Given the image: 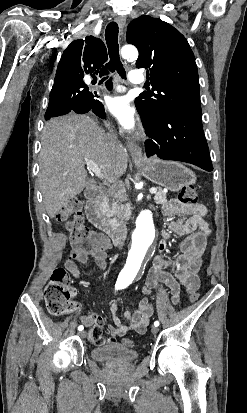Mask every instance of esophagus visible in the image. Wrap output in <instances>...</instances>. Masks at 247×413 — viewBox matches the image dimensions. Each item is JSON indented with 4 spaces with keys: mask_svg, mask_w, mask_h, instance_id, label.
Masks as SVG:
<instances>
[{
    "mask_svg": "<svg viewBox=\"0 0 247 413\" xmlns=\"http://www.w3.org/2000/svg\"><path fill=\"white\" fill-rule=\"evenodd\" d=\"M115 21L119 25L120 30L122 31L124 26H125V23H126V18L118 16L115 19ZM126 146H127L128 150H129V152H130V154H131V156L134 160H138L141 157L142 149L140 148L139 145H137V143H134V142L128 140L126 142Z\"/></svg>",
    "mask_w": 247,
    "mask_h": 413,
    "instance_id": "obj_1",
    "label": "esophagus"
}]
</instances>
